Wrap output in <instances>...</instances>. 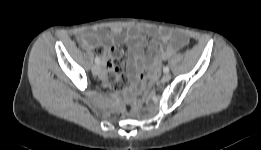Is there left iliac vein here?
Segmentation results:
<instances>
[{
	"label": "left iliac vein",
	"mask_w": 261,
	"mask_h": 150,
	"mask_svg": "<svg viewBox=\"0 0 261 150\" xmlns=\"http://www.w3.org/2000/svg\"><path fill=\"white\" fill-rule=\"evenodd\" d=\"M171 79L170 73H165L162 77V82H168Z\"/></svg>",
	"instance_id": "obj_1"
}]
</instances>
